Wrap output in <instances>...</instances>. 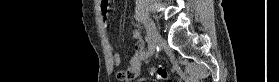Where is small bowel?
Wrapping results in <instances>:
<instances>
[{"mask_svg":"<svg viewBox=\"0 0 279 82\" xmlns=\"http://www.w3.org/2000/svg\"><path fill=\"white\" fill-rule=\"evenodd\" d=\"M98 6L102 13L103 21L106 22L108 18L109 1L100 0ZM134 38L137 41L133 47L132 56L128 60V66L126 69L120 70L117 73V77L121 81H127L133 76H136L139 72L141 60L145 57V46L143 41L140 39L139 33L137 31L134 32ZM108 49L111 50L112 46L109 45ZM120 63H121V55L119 53H113L112 64L114 66H118L120 65Z\"/></svg>","mask_w":279,"mask_h":82,"instance_id":"obj_1","label":"small bowel"}]
</instances>
